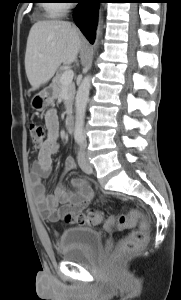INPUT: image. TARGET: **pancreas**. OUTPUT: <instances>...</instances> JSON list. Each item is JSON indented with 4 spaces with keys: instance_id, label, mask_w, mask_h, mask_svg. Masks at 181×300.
<instances>
[{
    "instance_id": "1",
    "label": "pancreas",
    "mask_w": 181,
    "mask_h": 300,
    "mask_svg": "<svg viewBox=\"0 0 181 300\" xmlns=\"http://www.w3.org/2000/svg\"><path fill=\"white\" fill-rule=\"evenodd\" d=\"M62 73H57L52 81V89L55 98H61L62 91L65 90L67 92L66 98L64 99L66 113H70L72 110L73 99L75 95V85L74 83H70L68 85H63L61 83Z\"/></svg>"
}]
</instances>
